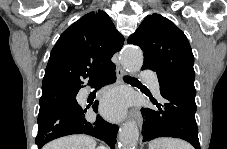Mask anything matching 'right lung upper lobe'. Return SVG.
Here are the masks:
<instances>
[{
  "instance_id": "1",
  "label": "right lung upper lobe",
  "mask_w": 227,
  "mask_h": 149,
  "mask_svg": "<svg viewBox=\"0 0 227 149\" xmlns=\"http://www.w3.org/2000/svg\"><path fill=\"white\" fill-rule=\"evenodd\" d=\"M123 43V36L105 12L84 15L61 34L53 47L42 88L53 85L81 88L86 78L93 83L113 65L111 58Z\"/></svg>"
}]
</instances>
